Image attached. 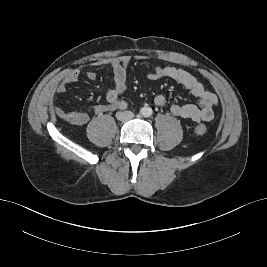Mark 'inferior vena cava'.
Segmentation results:
<instances>
[{
  "label": "inferior vena cava",
  "mask_w": 267,
  "mask_h": 267,
  "mask_svg": "<svg viewBox=\"0 0 267 267\" xmlns=\"http://www.w3.org/2000/svg\"><path fill=\"white\" fill-rule=\"evenodd\" d=\"M134 114L131 111H123V112H117L116 113V118L120 121H128L133 119Z\"/></svg>",
  "instance_id": "602c4592"
}]
</instances>
